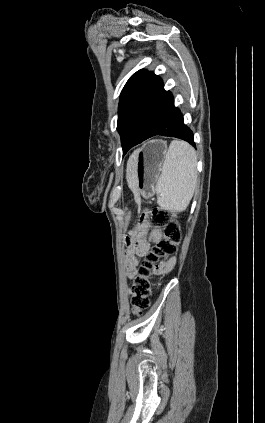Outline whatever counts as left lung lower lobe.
Segmentation results:
<instances>
[{
  "label": "left lung lower lobe",
  "instance_id": "0a47b994",
  "mask_svg": "<svg viewBox=\"0 0 265 423\" xmlns=\"http://www.w3.org/2000/svg\"><path fill=\"white\" fill-rule=\"evenodd\" d=\"M155 135L180 138L195 146L193 133L184 124L180 110L174 106L171 92L164 90L161 78L149 72L127 118L122 144L124 153Z\"/></svg>",
  "mask_w": 265,
  "mask_h": 423
}]
</instances>
